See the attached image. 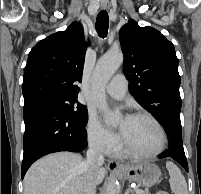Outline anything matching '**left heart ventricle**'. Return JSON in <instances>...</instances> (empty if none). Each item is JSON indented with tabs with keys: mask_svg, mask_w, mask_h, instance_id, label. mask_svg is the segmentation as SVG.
<instances>
[{
	"mask_svg": "<svg viewBox=\"0 0 201 194\" xmlns=\"http://www.w3.org/2000/svg\"><path fill=\"white\" fill-rule=\"evenodd\" d=\"M120 129L123 130V138L127 144L139 152H152L161 143V136L157 127L146 118L131 117L122 120Z\"/></svg>",
	"mask_w": 201,
	"mask_h": 194,
	"instance_id": "obj_1",
	"label": "left heart ventricle"
}]
</instances>
